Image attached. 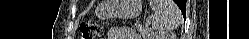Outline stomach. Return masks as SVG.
Here are the masks:
<instances>
[{"mask_svg": "<svg viewBox=\"0 0 249 39\" xmlns=\"http://www.w3.org/2000/svg\"><path fill=\"white\" fill-rule=\"evenodd\" d=\"M142 11L139 0H110L103 1L97 8V12L106 17L116 16L120 18H135Z\"/></svg>", "mask_w": 249, "mask_h": 39, "instance_id": "0dacf381", "label": "stomach"}]
</instances>
